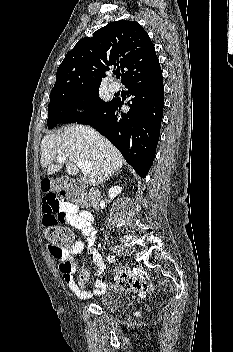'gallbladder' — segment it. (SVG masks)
<instances>
[{
	"label": "gallbladder",
	"mask_w": 233,
	"mask_h": 352,
	"mask_svg": "<svg viewBox=\"0 0 233 352\" xmlns=\"http://www.w3.org/2000/svg\"><path fill=\"white\" fill-rule=\"evenodd\" d=\"M72 186L75 188H79V187L84 186V184L81 181H76L72 184Z\"/></svg>",
	"instance_id": "gallbladder-1"
}]
</instances>
